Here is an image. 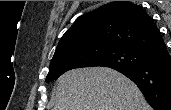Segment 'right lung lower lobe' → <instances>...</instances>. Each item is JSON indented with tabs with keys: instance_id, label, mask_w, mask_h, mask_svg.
<instances>
[{
	"instance_id": "1",
	"label": "right lung lower lobe",
	"mask_w": 171,
	"mask_h": 110,
	"mask_svg": "<svg viewBox=\"0 0 171 110\" xmlns=\"http://www.w3.org/2000/svg\"><path fill=\"white\" fill-rule=\"evenodd\" d=\"M115 70L138 86L154 110H171V57L166 44L147 53L144 63Z\"/></svg>"
}]
</instances>
